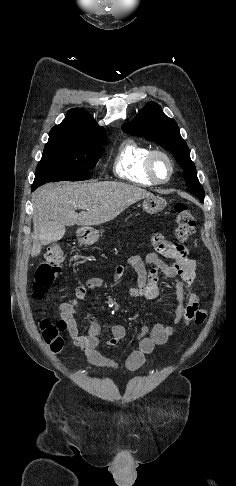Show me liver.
<instances>
[{
  "label": "liver",
  "mask_w": 236,
  "mask_h": 486,
  "mask_svg": "<svg viewBox=\"0 0 236 486\" xmlns=\"http://www.w3.org/2000/svg\"><path fill=\"white\" fill-rule=\"evenodd\" d=\"M154 195L145 189L121 182L55 183L33 194L32 257L40 254L50 221L66 226H96L116 218L133 203ZM77 209H83L77 213Z\"/></svg>",
  "instance_id": "obj_1"
}]
</instances>
